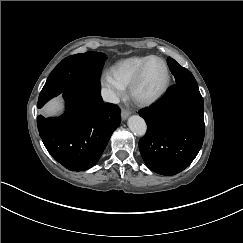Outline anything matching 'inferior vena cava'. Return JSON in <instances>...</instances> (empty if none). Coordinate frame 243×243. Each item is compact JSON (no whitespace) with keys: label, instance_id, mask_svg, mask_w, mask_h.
<instances>
[{"label":"inferior vena cava","instance_id":"obj_1","mask_svg":"<svg viewBox=\"0 0 243 243\" xmlns=\"http://www.w3.org/2000/svg\"><path fill=\"white\" fill-rule=\"evenodd\" d=\"M101 95L104 101L118 104L120 102V99L117 97V95L108 88H102Z\"/></svg>","mask_w":243,"mask_h":243}]
</instances>
